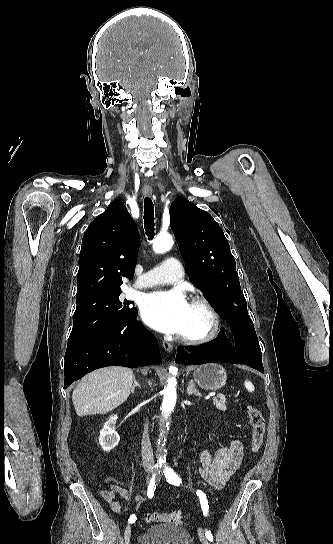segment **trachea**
Segmentation results:
<instances>
[{"label": "trachea", "instance_id": "1", "mask_svg": "<svg viewBox=\"0 0 333 544\" xmlns=\"http://www.w3.org/2000/svg\"><path fill=\"white\" fill-rule=\"evenodd\" d=\"M144 228L149 240L154 236V205L149 197L144 200Z\"/></svg>", "mask_w": 333, "mask_h": 544}]
</instances>
